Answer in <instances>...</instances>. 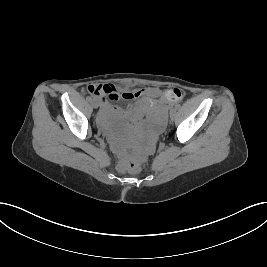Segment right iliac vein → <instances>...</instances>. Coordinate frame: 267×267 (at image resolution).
<instances>
[{
	"instance_id": "63e3f726",
	"label": "right iliac vein",
	"mask_w": 267,
	"mask_h": 267,
	"mask_svg": "<svg viewBox=\"0 0 267 267\" xmlns=\"http://www.w3.org/2000/svg\"><path fill=\"white\" fill-rule=\"evenodd\" d=\"M91 103H92V106L95 107V108L98 106V104H97V102L95 100H92Z\"/></svg>"
}]
</instances>
